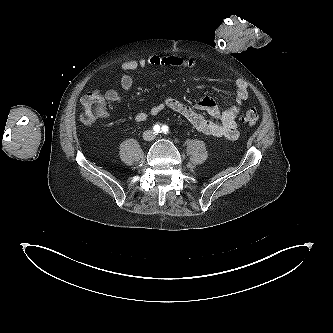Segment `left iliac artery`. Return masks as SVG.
<instances>
[{"mask_svg":"<svg viewBox=\"0 0 333 333\" xmlns=\"http://www.w3.org/2000/svg\"><path fill=\"white\" fill-rule=\"evenodd\" d=\"M161 129H162V132H164L165 134L169 132V128L166 125H163Z\"/></svg>","mask_w":333,"mask_h":333,"instance_id":"1","label":"left iliac artery"}]
</instances>
